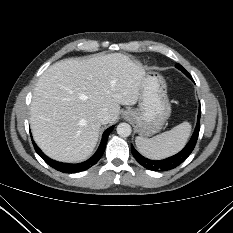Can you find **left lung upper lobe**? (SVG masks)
Returning <instances> with one entry per match:
<instances>
[{
  "instance_id": "5c2ea615",
  "label": "left lung upper lobe",
  "mask_w": 233,
  "mask_h": 233,
  "mask_svg": "<svg viewBox=\"0 0 233 233\" xmlns=\"http://www.w3.org/2000/svg\"><path fill=\"white\" fill-rule=\"evenodd\" d=\"M176 67L182 72H184L187 76L189 75V73L180 64H176Z\"/></svg>"
}]
</instances>
